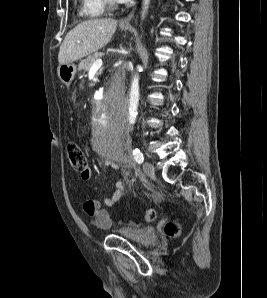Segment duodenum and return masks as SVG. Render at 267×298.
<instances>
[{
	"label": "duodenum",
	"mask_w": 267,
	"mask_h": 298,
	"mask_svg": "<svg viewBox=\"0 0 267 298\" xmlns=\"http://www.w3.org/2000/svg\"><path fill=\"white\" fill-rule=\"evenodd\" d=\"M92 103L90 104V115H100V112H103L102 105H107V100L104 98H92Z\"/></svg>",
	"instance_id": "obj_1"
}]
</instances>
